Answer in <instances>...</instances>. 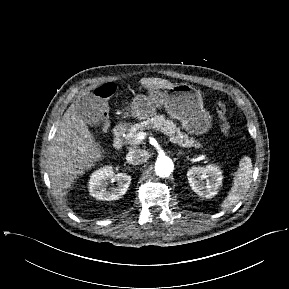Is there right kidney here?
<instances>
[{"label":"right kidney","mask_w":289,"mask_h":289,"mask_svg":"<svg viewBox=\"0 0 289 289\" xmlns=\"http://www.w3.org/2000/svg\"><path fill=\"white\" fill-rule=\"evenodd\" d=\"M108 180L117 182V187L107 189ZM131 182V176L126 173L115 174L111 166H105L92 173L88 188L90 195L98 200H118L126 193Z\"/></svg>","instance_id":"ca27d5eb"}]
</instances>
